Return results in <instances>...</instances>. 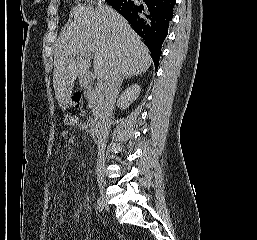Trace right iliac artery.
I'll return each mask as SVG.
<instances>
[{
    "mask_svg": "<svg viewBox=\"0 0 257 240\" xmlns=\"http://www.w3.org/2000/svg\"><path fill=\"white\" fill-rule=\"evenodd\" d=\"M96 209L101 212L103 210V203L101 201V198L97 199V205H96Z\"/></svg>",
    "mask_w": 257,
    "mask_h": 240,
    "instance_id": "right-iliac-artery-1",
    "label": "right iliac artery"
}]
</instances>
